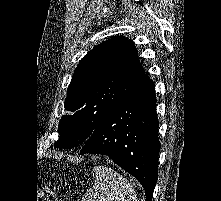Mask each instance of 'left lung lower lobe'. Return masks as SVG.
I'll return each mask as SVG.
<instances>
[{
  "label": "left lung lower lobe",
  "mask_w": 221,
  "mask_h": 201,
  "mask_svg": "<svg viewBox=\"0 0 221 201\" xmlns=\"http://www.w3.org/2000/svg\"><path fill=\"white\" fill-rule=\"evenodd\" d=\"M159 121L151 79L118 102L84 143L80 154L109 156L143 186L152 201L158 176Z\"/></svg>",
  "instance_id": "left-lung-lower-lobe-1"
}]
</instances>
